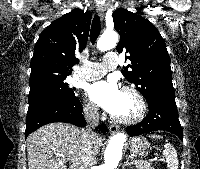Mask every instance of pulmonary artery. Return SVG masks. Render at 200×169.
Instances as JSON below:
<instances>
[{"label":"pulmonary artery","instance_id":"obj_1","mask_svg":"<svg viewBox=\"0 0 200 169\" xmlns=\"http://www.w3.org/2000/svg\"><path fill=\"white\" fill-rule=\"evenodd\" d=\"M118 57L111 52L104 56L102 62H86L84 67L74 74L77 81H91L98 79L106 74L107 71L116 68Z\"/></svg>","mask_w":200,"mask_h":169}]
</instances>
